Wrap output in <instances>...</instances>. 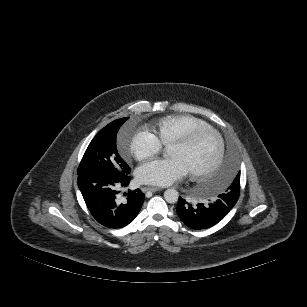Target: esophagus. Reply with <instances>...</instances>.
Listing matches in <instances>:
<instances>
[{"label":"esophagus","instance_id":"obj_1","mask_svg":"<svg viewBox=\"0 0 307 307\" xmlns=\"http://www.w3.org/2000/svg\"><path fill=\"white\" fill-rule=\"evenodd\" d=\"M142 190H143V191H152V192H156V191H160V190H162V189L159 188V187H144Z\"/></svg>","mask_w":307,"mask_h":307}]
</instances>
